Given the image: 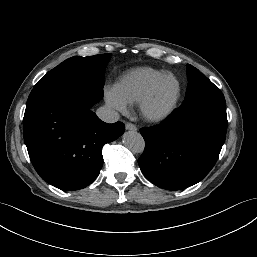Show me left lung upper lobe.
<instances>
[{"label": "left lung upper lobe", "mask_w": 257, "mask_h": 257, "mask_svg": "<svg viewBox=\"0 0 257 257\" xmlns=\"http://www.w3.org/2000/svg\"><path fill=\"white\" fill-rule=\"evenodd\" d=\"M188 86L182 105H195L208 100H225L224 95L208 78L192 65H187Z\"/></svg>", "instance_id": "1"}]
</instances>
